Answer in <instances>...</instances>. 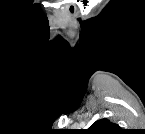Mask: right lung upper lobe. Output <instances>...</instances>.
<instances>
[{
    "mask_svg": "<svg viewBox=\"0 0 145 134\" xmlns=\"http://www.w3.org/2000/svg\"><path fill=\"white\" fill-rule=\"evenodd\" d=\"M120 130L117 124L104 118L94 122L85 132L88 134H117Z\"/></svg>",
    "mask_w": 145,
    "mask_h": 134,
    "instance_id": "cb5924a9",
    "label": "right lung upper lobe"
}]
</instances>
